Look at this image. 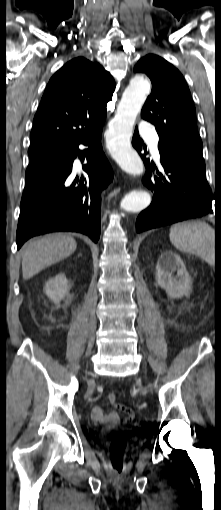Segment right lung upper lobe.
Here are the masks:
<instances>
[{"label": "right lung upper lobe", "mask_w": 221, "mask_h": 510, "mask_svg": "<svg viewBox=\"0 0 221 510\" xmlns=\"http://www.w3.org/2000/svg\"><path fill=\"white\" fill-rule=\"evenodd\" d=\"M115 82L83 57L66 63L50 79L34 116L28 152L67 147L104 123Z\"/></svg>", "instance_id": "right-lung-upper-lobe-1"}]
</instances>
